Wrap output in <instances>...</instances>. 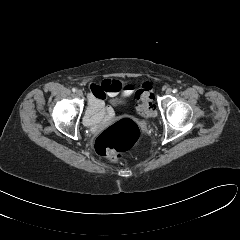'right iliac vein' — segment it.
<instances>
[{
	"label": "right iliac vein",
	"mask_w": 240,
	"mask_h": 240,
	"mask_svg": "<svg viewBox=\"0 0 240 240\" xmlns=\"http://www.w3.org/2000/svg\"><path fill=\"white\" fill-rule=\"evenodd\" d=\"M76 95H77L78 97H82V96H83V92H82L81 90H77V91H76Z\"/></svg>",
	"instance_id": "obj_1"
}]
</instances>
